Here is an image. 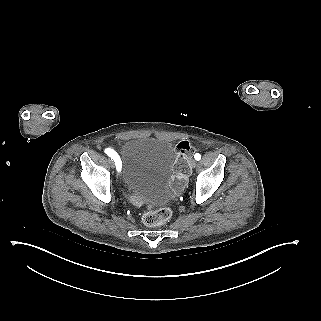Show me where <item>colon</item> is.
Returning <instances> with one entry per match:
<instances>
[{"instance_id": "obj_1", "label": "colon", "mask_w": 321, "mask_h": 321, "mask_svg": "<svg viewBox=\"0 0 321 321\" xmlns=\"http://www.w3.org/2000/svg\"><path fill=\"white\" fill-rule=\"evenodd\" d=\"M177 158L174 165V177L172 186L175 190H180L186 183L190 173L189 161L193 150L188 141H181L176 146ZM171 217L168 208L148 207L142 216V221L146 226L155 227L166 223Z\"/></svg>"}]
</instances>
